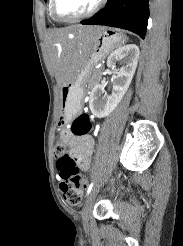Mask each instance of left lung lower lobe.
<instances>
[{"label":"left lung lower lobe","mask_w":183,"mask_h":246,"mask_svg":"<svg viewBox=\"0 0 183 246\" xmlns=\"http://www.w3.org/2000/svg\"><path fill=\"white\" fill-rule=\"evenodd\" d=\"M149 0H108L106 6L91 18L81 21L84 25H106L126 29L145 38Z\"/></svg>","instance_id":"obj_1"}]
</instances>
